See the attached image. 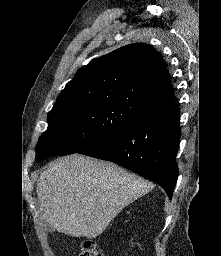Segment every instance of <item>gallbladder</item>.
Listing matches in <instances>:
<instances>
[{"instance_id": "gallbladder-1", "label": "gallbladder", "mask_w": 221, "mask_h": 256, "mask_svg": "<svg viewBox=\"0 0 221 256\" xmlns=\"http://www.w3.org/2000/svg\"><path fill=\"white\" fill-rule=\"evenodd\" d=\"M47 228L49 231H54V228L52 226H50L49 224H47Z\"/></svg>"}]
</instances>
